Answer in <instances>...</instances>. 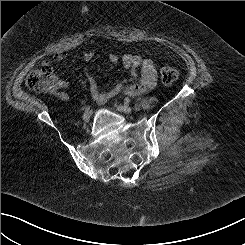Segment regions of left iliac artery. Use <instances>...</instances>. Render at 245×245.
<instances>
[{
	"instance_id": "44dca946",
	"label": "left iliac artery",
	"mask_w": 245,
	"mask_h": 245,
	"mask_svg": "<svg viewBox=\"0 0 245 245\" xmlns=\"http://www.w3.org/2000/svg\"><path fill=\"white\" fill-rule=\"evenodd\" d=\"M131 103V99L130 98H125L124 99V104H126V105H129Z\"/></svg>"
}]
</instances>
